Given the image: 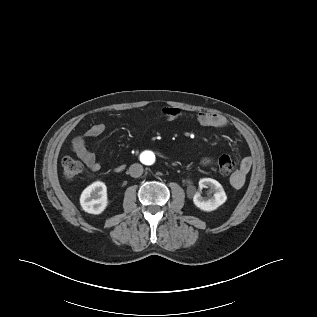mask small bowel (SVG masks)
Wrapping results in <instances>:
<instances>
[{
    "label": "small bowel",
    "instance_id": "small-bowel-1",
    "mask_svg": "<svg viewBox=\"0 0 317 317\" xmlns=\"http://www.w3.org/2000/svg\"><path fill=\"white\" fill-rule=\"evenodd\" d=\"M162 116L169 121L178 119L182 112L176 107H165L161 110ZM197 121L206 127L214 128H225L227 126V120L221 114L215 112H200L197 115ZM105 130V126L101 123L92 125L84 135L75 137L71 143V149L75 155L90 169L91 171H99L101 168L100 163L96 159L95 154L88 148L86 144V137H96L100 135ZM213 159L210 157H205L202 159L203 165H210ZM251 158L244 157L241 160L239 170L231 176L230 182L233 187L240 188L243 186L246 175L251 168ZM120 170L119 168L115 169Z\"/></svg>",
    "mask_w": 317,
    "mask_h": 317
}]
</instances>
